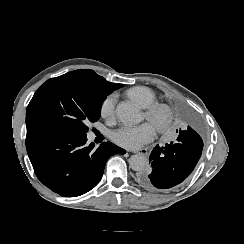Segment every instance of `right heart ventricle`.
<instances>
[{
	"instance_id": "obj_1",
	"label": "right heart ventricle",
	"mask_w": 244,
	"mask_h": 244,
	"mask_svg": "<svg viewBox=\"0 0 244 244\" xmlns=\"http://www.w3.org/2000/svg\"><path fill=\"white\" fill-rule=\"evenodd\" d=\"M125 95L142 108H148L156 104L154 93L144 86L130 88L125 92Z\"/></svg>"
}]
</instances>
